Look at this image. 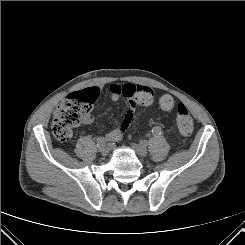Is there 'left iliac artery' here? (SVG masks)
<instances>
[{
    "label": "left iliac artery",
    "mask_w": 245,
    "mask_h": 245,
    "mask_svg": "<svg viewBox=\"0 0 245 245\" xmlns=\"http://www.w3.org/2000/svg\"><path fill=\"white\" fill-rule=\"evenodd\" d=\"M152 133L154 135H160L161 134V129L158 128V127H155V128L152 129Z\"/></svg>",
    "instance_id": "44dca946"
}]
</instances>
